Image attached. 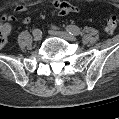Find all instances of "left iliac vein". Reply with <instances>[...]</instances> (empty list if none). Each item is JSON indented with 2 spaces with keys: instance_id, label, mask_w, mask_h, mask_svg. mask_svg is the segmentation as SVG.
<instances>
[{
  "instance_id": "1",
  "label": "left iliac vein",
  "mask_w": 119,
  "mask_h": 119,
  "mask_svg": "<svg viewBox=\"0 0 119 119\" xmlns=\"http://www.w3.org/2000/svg\"><path fill=\"white\" fill-rule=\"evenodd\" d=\"M49 33L53 36L61 37L63 39L69 40V41H75L76 40V38L72 34L65 32V31L51 29L49 31Z\"/></svg>"
}]
</instances>
